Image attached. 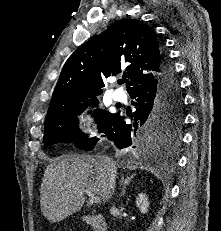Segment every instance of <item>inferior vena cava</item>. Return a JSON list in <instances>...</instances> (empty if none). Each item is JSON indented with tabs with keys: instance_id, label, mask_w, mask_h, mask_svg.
Instances as JSON below:
<instances>
[{
	"instance_id": "inferior-vena-cava-1",
	"label": "inferior vena cava",
	"mask_w": 221,
	"mask_h": 231,
	"mask_svg": "<svg viewBox=\"0 0 221 231\" xmlns=\"http://www.w3.org/2000/svg\"><path fill=\"white\" fill-rule=\"evenodd\" d=\"M100 163L104 166V169L107 172V187H108V195L109 199L112 198V194H114L115 186H116V177H117V168L113 162V160L108 156H100Z\"/></svg>"
}]
</instances>
